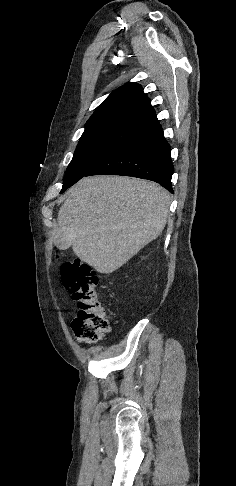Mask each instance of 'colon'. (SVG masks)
Instances as JSON below:
<instances>
[{
  "label": "colon",
  "mask_w": 236,
  "mask_h": 486,
  "mask_svg": "<svg viewBox=\"0 0 236 486\" xmlns=\"http://www.w3.org/2000/svg\"><path fill=\"white\" fill-rule=\"evenodd\" d=\"M61 279L79 306L71 325L75 339L81 343L97 342L109 331V321L98 298L96 272L76 259L62 264Z\"/></svg>",
  "instance_id": "1"
}]
</instances>
